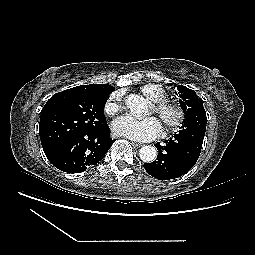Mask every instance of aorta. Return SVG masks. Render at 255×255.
Returning <instances> with one entry per match:
<instances>
[{
    "label": "aorta",
    "instance_id": "aorta-1",
    "mask_svg": "<svg viewBox=\"0 0 255 255\" xmlns=\"http://www.w3.org/2000/svg\"><path fill=\"white\" fill-rule=\"evenodd\" d=\"M126 105L131 111V114L136 118L142 116L143 100L138 95H129L126 99ZM139 157L143 162L151 163L157 157V150L155 147L146 145L139 150Z\"/></svg>",
    "mask_w": 255,
    "mask_h": 255
}]
</instances>
